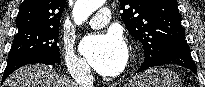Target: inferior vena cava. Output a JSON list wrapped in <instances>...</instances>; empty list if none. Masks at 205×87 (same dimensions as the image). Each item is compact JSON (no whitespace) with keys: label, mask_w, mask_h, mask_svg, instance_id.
Here are the masks:
<instances>
[{"label":"inferior vena cava","mask_w":205,"mask_h":87,"mask_svg":"<svg viewBox=\"0 0 205 87\" xmlns=\"http://www.w3.org/2000/svg\"><path fill=\"white\" fill-rule=\"evenodd\" d=\"M72 76L78 87H93V75L86 64L77 66L72 71Z\"/></svg>","instance_id":"obj_1"}]
</instances>
